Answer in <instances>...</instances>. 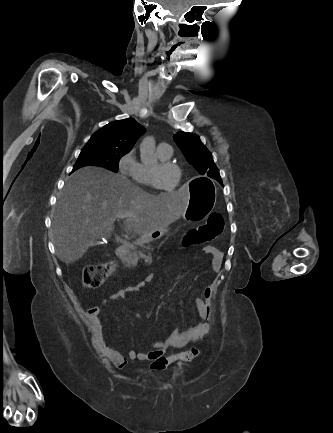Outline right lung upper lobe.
I'll return each instance as SVG.
<instances>
[{
    "mask_svg": "<svg viewBox=\"0 0 333 433\" xmlns=\"http://www.w3.org/2000/svg\"><path fill=\"white\" fill-rule=\"evenodd\" d=\"M145 133V128L132 118L111 122L92 135L86 145L130 151Z\"/></svg>",
    "mask_w": 333,
    "mask_h": 433,
    "instance_id": "cb5924a9",
    "label": "right lung upper lobe"
}]
</instances>
